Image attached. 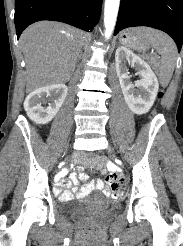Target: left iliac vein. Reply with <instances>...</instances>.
Returning <instances> with one entry per match:
<instances>
[{
	"label": "left iliac vein",
	"instance_id": "1",
	"mask_svg": "<svg viewBox=\"0 0 183 246\" xmlns=\"http://www.w3.org/2000/svg\"><path fill=\"white\" fill-rule=\"evenodd\" d=\"M108 151H109L110 153H112V152H113V149L110 147V148L108 149Z\"/></svg>",
	"mask_w": 183,
	"mask_h": 246
}]
</instances>
